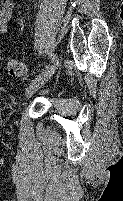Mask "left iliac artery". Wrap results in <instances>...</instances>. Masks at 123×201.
Wrapping results in <instances>:
<instances>
[{"label":"left iliac artery","instance_id":"44dca946","mask_svg":"<svg viewBox=\"0 0 123 201\" xmlns=\"http://www.w3.org/2000/svg\"><path fill=\"white\" fill-rule=\"evenodd\" d=\"M49 57H50V59H51V61H52V64L53 65H58L59 64V60H58V58H57V56L56 55H54V54H49Z\"/></svg>","mask_w":123,"mask_h":201}]
</instances>
